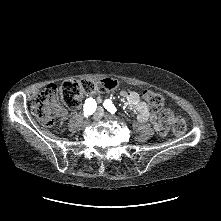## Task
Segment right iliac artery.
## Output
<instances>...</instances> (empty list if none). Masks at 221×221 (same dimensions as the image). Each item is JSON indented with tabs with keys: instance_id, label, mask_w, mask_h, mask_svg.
Listing matches in <instances>:
<instances>
[{
	"instance_id": "right-iliac-artery-1",
	"label": "right iliac artery",
	"mask_w": 221,
	"mask_h": 221,
	"mask_svg": "<svg viewBox=\"0 0 221 221\" xmlns=\"http://www.w3.org/2000/svg\"><path fill=\"white\" fill-rule=\"evenodd\" d=\"M97 103L95 99L89 98L86 100L84 104V116L88 117L89 115L93 114L96 111Z\"/></svg>"
}]
</instances>
